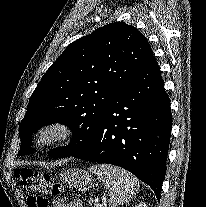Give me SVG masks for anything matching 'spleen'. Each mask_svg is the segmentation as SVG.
<instances>
[{"instance_id": "obj_1", "label": "spleen", "mask_w": 206, "mask_h": 207, "mask_svg": "<svg viewBox=\"0 0 206 207\" xmlns=\"http://www.w3.org/2000/svg\"><path fill=\"white\" fill-rule=\"evenodd\" d=\"M89 171L102 180L113 205H123L129 202L137 193L138 180L122 168L98 164L91 166Z\"/></svg>"}]
</instances>
